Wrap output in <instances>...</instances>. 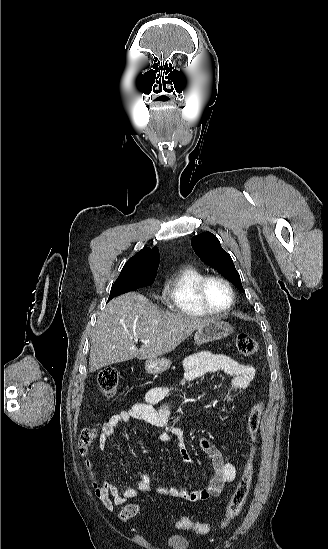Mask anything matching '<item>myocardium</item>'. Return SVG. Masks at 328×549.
Instances as JSON below:
<instances>
[{
	"label": "myocardium",
	"mask_w": 328,
	"mask_h": 549,
	"mask_svg": "<svg viewBox=\"0 0 328 549\" xmlns=\"http://www.w3.org/2000/svg\"><path fill=\"white\" fill-rule=\"evenodd\" d=\"M213 281H218L223 283L230 292V296H231L230 303L226 308H224L221 311H215L206 306L208 305V301L206 298V290L208 285ZM196 295L199 301V305L196 306V309L198 310V312L212 318L219 319V318L226 317L231 313L236 303V291L232 282L228 278L220 274H209L203 277V279L199 282L197 286Z\"/></svg>",
	"instance_id": "obj_1"
}]
</instances>
